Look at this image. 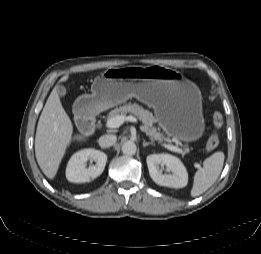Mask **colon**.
<instances>
[{
    "label": "colon",
    "mask_w": 261,
    "mask_h": 254,
    "mask_svg": "<svg viewBox=\"0 0 261 254\" xmlns=\"http://www.w3.org/2000/svg\"><path fill=\"white\" fill-rule=\"evenodd\" d=\"M212 121H213V125H214V130L207 140V143H206L207 151H212L218 146L219 131L222 128L224 121H225L224 115L220 112H215L212 116Z\"/></svg>",
    "instance_id": "obj_1"
}]
</instances>
